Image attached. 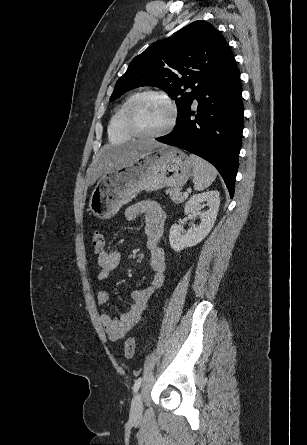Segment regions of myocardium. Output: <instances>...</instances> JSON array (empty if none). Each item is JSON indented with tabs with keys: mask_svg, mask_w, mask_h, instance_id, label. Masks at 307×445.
I'll use <instances>...</instances> for the list:
<instances>
[{
	"mask_svg": "<svg viewBox=\"0 0 307 445\" xmlns=\"http://www.w3.org/2000/svg\"><path fill=\"white\" fill-rule=\"evenodd\" d=\"M150 97H156V98L163 100L168 105V107L170 108V112H171V117H170V120L167 123V125L163 129H161L160 131L155 132V133L146 132L145 130H143V128L139 125V123L137 121V110H138L139 105L145 99L150 98ZM177 118H178V110H177V106H176L175 102L172 100V98L164 92L154 91V90H148V91H144L141 94H138L130 103L128 112H127V122H128L129 129L131 130L132 134L137 136V138L140 140H142V139H162L163 137H165L167 134H169L173 130V128L175 127V124L177 122Z\"/></svg>",
	"mask_w": 307,
	"mask_h": 445,
	"instance_id": "f54148a6",
	"label": "myocardium"
}]
</instances>
